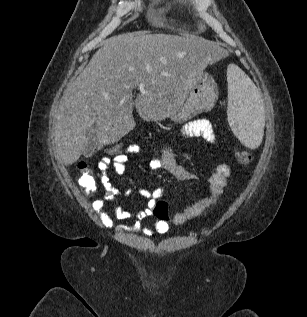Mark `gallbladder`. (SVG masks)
Returning <instances> with one entry per match:
<instances>
[{
	"mask_svg": "<svg viewBox=\"0 0 307 317\" xmlns=\"http://www.w3.org/2000/svg\"><path fill=\"white\" fill-rule=\"evenodd\" d=\"M98 144V128L95 124L88 130L87 143L85 145L83 155L87 158L91 157L96 152Z\"/></svg>",
	"mask_w": 307,
	"mask_h": 317,
	"instance_id": "bac80fb5",
	"label": "gallbladder"
}]
</instances>
